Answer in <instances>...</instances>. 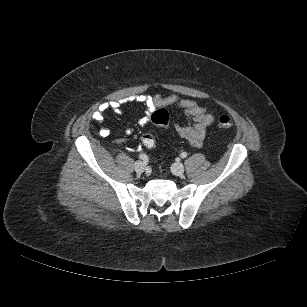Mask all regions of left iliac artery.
<instances>
[{
	"label": "left iliac artery",
	"mask_w": 307,
	"mask_h": 307,
	"mask_svg": "<svg viewBox=\"0 0 307 307\" xmlns=\"http://www.w3.org/2000/svg\"><path fill=\"white\" fill-rule=\"evenodd\" d=\"M187 155H188L187 152H183V153L180 154L181 158H186Z\"/></svg>",
	"instance_id": "44dca946"
}]
</instances>
